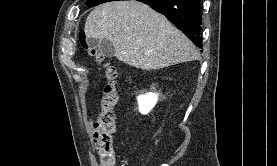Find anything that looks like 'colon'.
<instances>
[{"label": "colon", "mask_w": 277, "mask_h": 166, "mask_svg": "<svg viewBox=\"0 0 277 166\" xmlns=\"http://www.w3.org/2000/svg\"><path fill=\"white\" fill-rule=\"evenodd\" d=\"M79 41L88 55L104 69L106 83L102 87L100 113L93 124V137L100 158V166H116L114 107L118 101V72L95 47L87 42L83 31L79 33Z\"/></svg>", "instance_id": "1"}]
</instances>
